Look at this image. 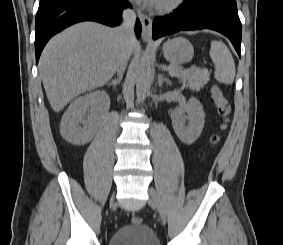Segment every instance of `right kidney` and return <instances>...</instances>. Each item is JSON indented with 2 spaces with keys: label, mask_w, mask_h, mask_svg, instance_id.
Masks as SVG:
<instances>
[{
  "label": "right kidney",
  "mask_w": 283,
  "mask_h": 245,
  "mask_svg": "<svg viewBox=\"0 0 283 245\" xmlns=\"http://www.w3.org/2000/svg\"><path fill=\"white\" fill-rule=\"evenodd\" d=\"M109 106L110 99L105 91H94L77 98L69 105L61 119V136L74 145L88 143L96 132L97 120ZM87 111H90L91 118L85 120L84 114Z\"/></svg>",
  "instance_id": "obj_1"
}]
</instances>
